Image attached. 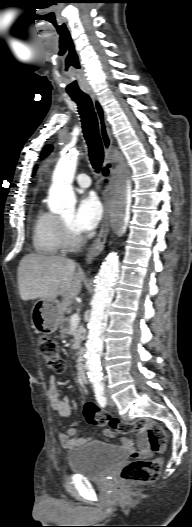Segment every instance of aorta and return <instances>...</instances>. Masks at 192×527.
Returning a JSON list of instances; mask_svg holds the SVG:
<instances>
[{
  "label": "aorta",
  "mask_w": 192,
  "mask_h": 527,
  "mask_svg": "<svg viewBox=\"0 0 192 527\" xmlns=\"http://www.w3.org/2000/svg\"><path fill=\"white\" fill-rule=\"evenodd\" d=\"M78 151L72 149L58 160L53 172L52 184L49 190V207L55 213L73 211L76 197L73 192L72 182L77 167ZM116 188L119 203L125 206L130 197L129 168L124 165L120 168ZM118 277V256L111 252L96 276L95 294L92 299L88 335L86 341L85 365L87 375L92 384L102 381V368L100 357L103 350L104 331L107 325L108 307L114 296V284Z\"/></svg>",
  "instance_id": "762f6f07"
}]
</instances>
